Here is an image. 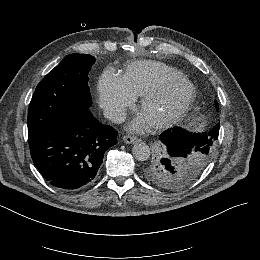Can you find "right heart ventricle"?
<instances>
[{"label":"right heart ventricle","instance_id":"obj_1","mask_svg":"<svg viewBox=\"0 0 260 260\" xmlns=\"http://www.w3.org/2000/svg\"><path fill=\"white\" fill-rule=\"evenodd\" d=\"M130 70L137 78V89L142 93L150 91L164 80L175 79L183 75L174 67L155 61L136 63Z\"/></svg>","mask_w":260,"mask_h":260}]
</instances>
